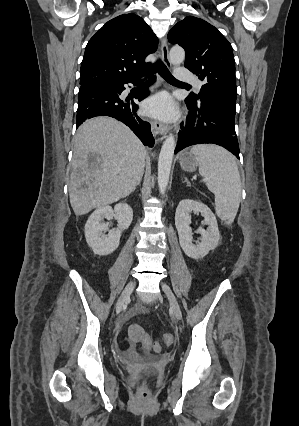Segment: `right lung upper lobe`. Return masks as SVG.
<instances>
[{
	"mask_svg": "<svg viewBox=\"0 0 299 426\" xmlns=\"http://www.w3.org/2000/svg\"><path fill=\"white\" fill-rule=\"evenodd\" d=\"M158 39L136 14L108 21L88 42L81 64L80 85H114L142 76Z\"/></svg>",
	"mask_w": 299,
	"mask_h": 426,
	"instance_id": "cb5924a9",
	"label": "right lung upper lobe"
}]
</instances>
